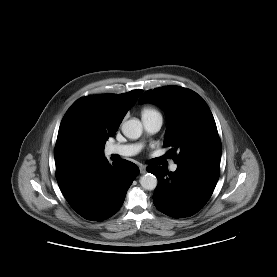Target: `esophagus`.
I'll return each mask as SVG.
<instances>
[{
	"label": "esophagus",
	"mask_w": 277,
	"mask_h": 277,
	"mask_svg": "<svg viewBox=\"0 0 277 277\" xmlns=\"http://www.w3.org/2000/svg\"><path fill=\"white\" fill-rule=\"evenodd\" d=\"M139 169H140L141 174H145L147 172L146 166H144V165H140Z\"/></svg>",
	"instance_id": "esophagus-1"
}]
</instances>
